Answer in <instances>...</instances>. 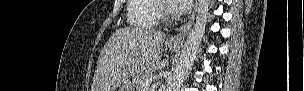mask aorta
Returning <instances> with one entry per match:
<instances>
[{"mask_svg": "<svg viewBox=\"0 0 304 91\" xmlns=\"http://www.w3.org/2000/svg\"><path fill=\"white\" fill-rule=\"evenodd\" d=\"M209 6L210 0H198L196 22L185 41L176 69L168 82L167 91H179L192 69L199 45L205 34Z\"/></svg>", "mask_w": 304, "mask_h": 91, "instance_id": "obj_1", "label": "aorta"}]
</instances>
